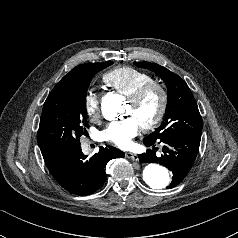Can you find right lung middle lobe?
I'll return each mask as SVG.
<instances>
[{
  "label": "right lung middle lobe",
  "instance_id": "obj_1",
  "mask_svg": "<svg viewBox=\"0 0 238 238\" xmlns=\"http://www.w3.org/2000/svg\"><path fill=\"white\" fill-rule=\"evenodd\" d=\"M113 64L89 63L75 75L61 79L48 95L37 140L43 153H57L80 145L87 122L86 93L93 76Z\"/></svg>",
  "mask_w": 238,
  "mask_h": 238
}]
</instances>
